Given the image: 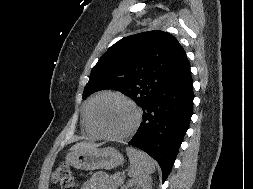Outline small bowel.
Returning <instances> with one entry per match:
<instances>
[{
  "instance_id": "small-bowel-1",
  "label": "small bowel",
  "mask_w": 253,
  "mask_h": 189,
  "mask_svg": "<svg viewBox=\"0 0 253 189\" xmlns=\"http://www.w3.org/2000/svg\"><path fill=\"white\" fill-rule=\"evenodd\" d=\"M83 189H112L108 177L103 172H97L91 176Z\"/></svg>"
}]
</instances>
